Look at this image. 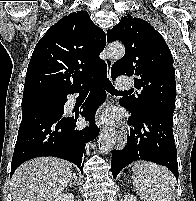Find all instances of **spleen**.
<instances>
[{
	"label": "spleen",
	"instance_id": "1",
	"mask_svg": "<svg viewBox=\"0 0 196 201\" xmlns=\"http://www.w3.org/2000/svg\"><path fill=\"white\" fill-rule=\"evenodd\" d=\"M132 171L133 185L143 201H175L176 179L167 168L141 162Z\"/></svg>",
	"mask_w": 196,
	"mask_h": 201
}]
</instances>
